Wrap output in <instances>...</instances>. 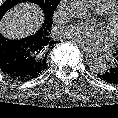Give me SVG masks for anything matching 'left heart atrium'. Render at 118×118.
Listing matches in <instances>:
<instances>
[{
  "instance_id": "1",
  "label": "left heart atrium",
  "mask_w": 118,
  "mask_h": 118,
  "mask_svg": "<svg viewBox=\"0 0 118 118\" xmlns=\"http://www.w3.org/2000/svg\"><path fill=\"white\" fill-rule=\"evenodd\" d=\"M64 35L86 50L104 49L113 42L111 32L101 25L75 24L68 27L64 31Z\"/></svg>"
}]
</instances>
